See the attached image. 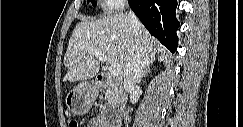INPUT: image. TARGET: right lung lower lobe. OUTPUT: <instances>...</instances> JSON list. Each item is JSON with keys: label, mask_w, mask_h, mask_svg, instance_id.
<instances>
[{"label": "right lung lower lobe", "mask_w": 243, "mask_h": 127, "mask_svg": "<svg viewBox=\"0 0 243 127\" xmlns=\"http://www.w3.org/2000/svg\"><path fill=\"white\" fill-rule=\"evenodd\" d=\"M130 6L142 24L169 50L175 52L178 38L176 30V0H129Z\"/></svg>", "instance_id": "1"}]
</instances>
